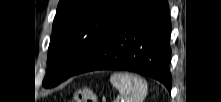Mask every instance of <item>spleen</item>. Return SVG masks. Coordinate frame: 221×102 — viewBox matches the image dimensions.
<instances>
[{
    "label": "spleen",
    "mask_w": 221,
    "mask_h": 102,
    "mask_svg": "<svg viewBox=\"0 0 221 102\" xmlns=\"http://www.w3.org/2000/svg\"><path fill=\"white\" fill-rule=\"evenodd\" d=\"M110 82L124 98V102H143L147 95V82L138 75L116 72L111 75Z\"/></svg>",
    "instance_id": "spleen-1"
}]
</instances>
